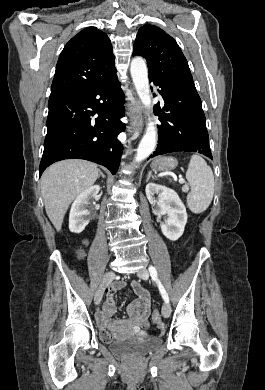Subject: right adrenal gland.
Returning a JSON list of instances; mask_svg holds the SVG:
<instances>
[{
  "label": "right adrenal gland",
  "instance_id": "1",
  "mask_svg": "<svg viewBox=\"0 0 265 390\" xmlns=\"http://www.w3.org/2000/svg\"><path fill=\"white\" fill-rule=\"evenodd\" d=\"M102 176V178H105V175L102 173L101 170H99V177Z\"/></svg>",
  "mask_w": 265,
  "mask_h": 390
}]
</instances>
